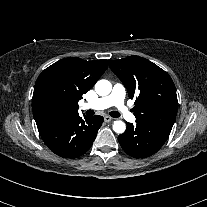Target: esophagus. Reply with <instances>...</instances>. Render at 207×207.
Wrapping results in <instances>:
<instances>
[{
	"instance_id": "34e87169",
	"label": "esophagus",
	"mask_w": 207,
	"mask_h": 207,
	"mask_svg": "<svg viewBox=\"0 0 207 207\" xmlns=\"http://www.w3.org/2000/svg\"><path fill=\"white\" fill-rule=\"evenodd\" d=\"M104 121L110 122V121H112V117L106 115V116H104Z\"/></svg>"
}]
</instances>
